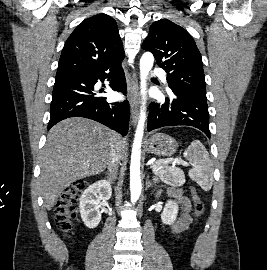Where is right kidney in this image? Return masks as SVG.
<instances>
[{
	"label": "right kidney",
	"instance_id": "obj_1",
	"mask_svg": "<svg viewBox=\"0 0 267 270\" xmlns=\"http://www.w3.org/2000/svg\"><path fill=\"white\" fill-rule=\"evenodd\" d=\"M112 189L110 181L100 180L90 185L81 195L79 211L86 227L93 229L101 220V201L111 198Z\"/></svg>",
	"mask_w": 267,
	"mask_h": 270
}]
</instances>
